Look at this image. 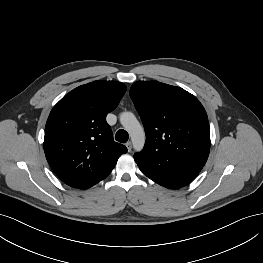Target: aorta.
<instances>
[{
	"mask_svg": "<svg viewBox=\"0 0 263 263\" xmlns=\"http://www.w3.org/2000/svg\"><path fill=\"white\" fill-rule=\"evenodd\" d=\"M120 122L131 137L134 149L140 151L145 143V132L135 115L132 112H123Z\"/></svg>",
	"mask_w": 263,
	"mask_h": 263,
	"instance_id": "obj_1",
	"label": "aorta"
}]
</instances>
